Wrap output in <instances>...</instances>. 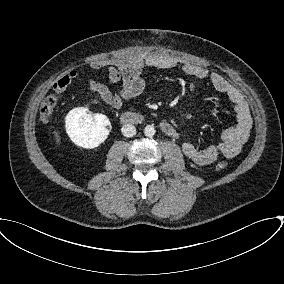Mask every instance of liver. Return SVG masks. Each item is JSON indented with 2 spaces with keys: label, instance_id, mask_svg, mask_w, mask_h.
<instances>
[{
  "label": "liver",
  "instance_id": "obj_1",
  "mask_svg": "<svg viewBox=\"0 0 284 284\" xmlns=\"http://www.w3.org/2000/svg\"><path fill=\"white\" fill-rule=\"evenodd\" d=\"M54 135H55V142H56L57 145H59V144H60V138H59V136H58V132L55 131V132H54Z\"/></svg>",
  "mask_w": 284,
  "mask_h": 284
}]
</instances>
